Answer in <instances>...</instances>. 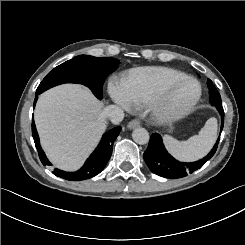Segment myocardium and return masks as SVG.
Masks as SVG:
<instances>
[{
  "mask_svg": "<svg viewBox=\"0 0 245 245\" xmlns=\"http://www.w3.org/2000/svg\"><path fill=\"white\" fill-rule=\"evenodd\" d=\"M186 81H191L196 85L197 92L194 99L187 105L174 109L168 106L164 100V94L174 86ZM202 94L200 83L193 77L185 76L181 78L165 80L159 82L147 99V105L153 116L159 120L166 121L181 118L193 110Z\"/></svg>",
  "mask_w": 245,
  "mask_h": 245,
  "instance_id": "myocardium-1",
  "label": "myocardium"
}]
</instances>
